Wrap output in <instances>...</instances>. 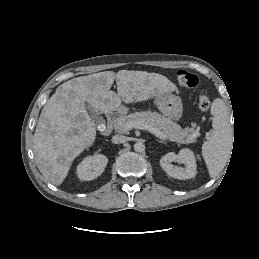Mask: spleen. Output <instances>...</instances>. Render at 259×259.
Returning a JSON list of instances; mask_svg holds the SVG:
<instances>
[{"label": "spleen", "instance_id": "spleen-1", "mask_svg": "<svg viewBox=\"0 0 259 259\" xmlns=\"http://www.w3.org/2000/svg\"><path fill=\"white\" fill-rule=\"evenodd\" d=\"M213 116L211 136L202 145V156L210 177H216L228 162L233 128L229 122L227 107L223 100L217 98L211 106Z\"/></svg>", "mask_w": 259, "mask_h": 259}]
</instances>
